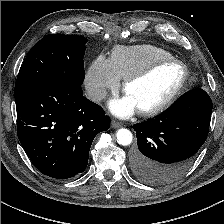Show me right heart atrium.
<instances>
[{"mask_svg":"<svg viewBox=\"0 0 224 224\" xmlns=\"http://www.w3.org/2000/svg\"><path fill=\"white\" fill-rule=\"evenodd\" d=\"M120 79L115 74L110 59L98 56L89 66L85 77V88L91 100H103L109 91H116Z\"/></svg>","mask_w":224,"mask_h":224,"instance_id":"obj_1","label":"right heart atrium"}]
</instances>
